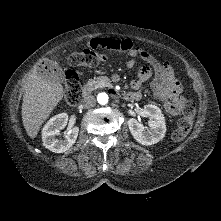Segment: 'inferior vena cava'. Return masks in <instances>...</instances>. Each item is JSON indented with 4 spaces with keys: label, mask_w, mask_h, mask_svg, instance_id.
<instances>
[{
    "label": "inferior vena cava",
    "mask_w": 221,
    "mask_h": 221,
    "mask_svg": "<svg viewBox=\"0 0 221 221\" xmlns=\"http://www.w3.org/2000/svg\"><path fill=\"white\" fill-rule=\"evenodd\" d=\"M96 105V98L93 95H88L83 99V106L85 108H92Z\"/></svg>",
    "instance_id": "obj_1"
}]
</instances>
